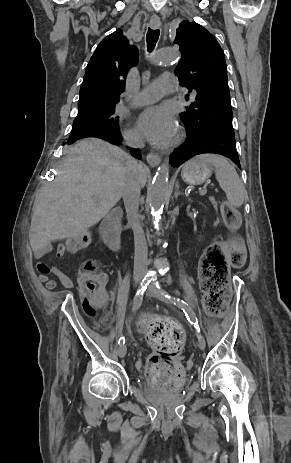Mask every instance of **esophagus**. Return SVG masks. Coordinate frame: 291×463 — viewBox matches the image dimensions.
Here are the masks:
<instances>
[{"label":"esophagus","instance_id":"34e87169","mask_svg":"<svg viewBox=\"0 0 291 463\" xmlns=\"http://www.w3.org/2000/svg\"><path fill=\"white\" fill-rule=\"evenodd\" d=\"M150 25L152 28L156 29V28H159L160 25H161V21H160V18L157 17V16H153L151 17L150 19ZM146 160L148 162V164L150 166H157L159 165V163L161 162V156L156 154V153H153V152H150L147 156H146Z\"/></svg>","mask_w":291,"mask_h":463}]
</instances>
